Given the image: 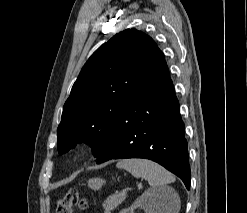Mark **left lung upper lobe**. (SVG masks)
I'll use <instances>...</instances> for the list:
<instances>
[{
	"label": "left lung upper lobe",
	"mask_w": 247,
	"mask_h": 213,
	"mask_svg": "<svg viewBox=\"0 0 247 213\" xmlns=\"http://www.w3.org/2000/svg\"><path fill=\"white\" fill-rule=\"evenodd\" d=\"M148 35L126 29L99 47L83 66L63 107L58 152L87 142L99 157L127 100L133 98L147 70L164 61Z\"/></svg>",
	"instance_id": "1"
}]
</instances>
